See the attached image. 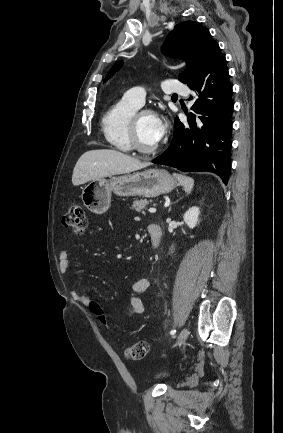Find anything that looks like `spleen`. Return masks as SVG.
Segmentation results:
<instances>
[{
    "mask_svg": "<svg viewBox=\"0 0 283 433\" xmlns=\"http://www.w3.org/2000/svg\"><path fill=\"white\" fill-rule=\"evenodd\" d=\"M174 176H176L179 184L181 186H184L186 192H190L191 188L194 186V180L191 178V176H183V174H177V172H174Z\"/></svg>",
    "mask_w": 283,
    "mask_h": 433,
    "instance_id": "spleen-1",
    "label": "spleen"
}]
</instances>
